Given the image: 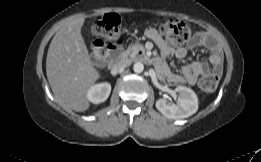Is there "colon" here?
<instances>
[{
    "instance_id": "5ec220e1",
    "label": "colon",
    "mask_w": 261,
    "mask_h": 162,
    "mask_svg": "<svg viewBox=\"0 0 261 162\" xmlns=\"http://www.w3.org/2000/svg\"><path fill=\"white\" fill-rule=\"evenodd\" d=\"M161 35L172 44H183L192 38L191 28L183 21L169 19L161 23L159 27ZM92 32L96 39L93 42L92 55L96 61H102L107 57V41L120 42L121 19L115 13L105 14L92 25ZM218 79L214 75H203L199 80V86L205 93H212L217 87Z\"/></svg>"
}]
</instances>
